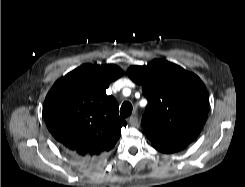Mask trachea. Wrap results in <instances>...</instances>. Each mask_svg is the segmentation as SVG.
<instances>
[{
  "instance_id": "trachea-1",
  "label": "trachea",
  "mask_w": 245,
  "mask_h": 187,
  "mask_svg": "<svg viewBox=\"0 0 245 187\" xmlns=\"http://www.w3.org/2000/svg\"><path fill=\"white\" fill-rule=\"evenodd\" d=\"M132 104L128 101L124 102L120 108V115L123 118H127L132 113Z\"/></svg>"
}]
</instances>
